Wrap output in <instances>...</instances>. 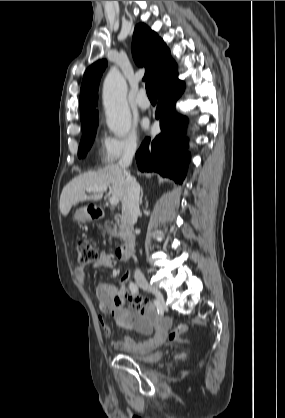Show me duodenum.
<instances>
[{"mask_svg":"<svg viewBox=\"0 0 285 418\" xmlns=\"http://www.w3.org/2000/svg\"><path fill=\"white\" fill-rule=\"evenodd\" d=\"M108 216L105 212H98L95 214L94 219H101ZM111 219L119 224L122 228L124 243L117 249V257L121 260H127L131 257L134 249L135 235L133 230L126 224L120 215H113Z\"/></svg>","mask_w":285,"mask_h":418,"instance_id":"1","label":"duodenum"}]
</instances>
